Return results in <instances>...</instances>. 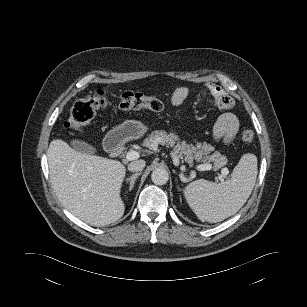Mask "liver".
<instances>
[{"label": "liver", "mask_w": 307, "mask_h": 307, "mask_svg": "<svg viewBox=\"0 0 307 307\" xmlns=\"http://www.w3.org/2000/svg\"><path fill=\"white\" fill-rule=\"evenodd\" d=\"M47 158L54 192L74 216L96 227L123 216L126 169L121 162L81 153L60 139L51 141Z\"/></svg>", "instance_id": "1"}]
</instances>
